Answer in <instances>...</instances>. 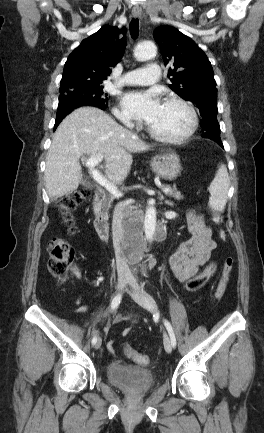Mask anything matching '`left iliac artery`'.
<instances>
[{
    "label": "left iliac artery",
    "instance_id": "44dca946",
    "mask_svg": "<svg viewBox=\"0 0 264 433\" xmlns=\"http://www.w3.org/2000/svg\"><path fill=\"white\" fill-rule=\"evenodd\" d=\"M165 326H166L168 333L170 335L171 344L173 347H175L176 346V338H175V334H174V331H173V328H172L170 322L165 320Z\"/></svg>",
    "mask_w": 264,
    "mask_h": 433
}]
</instances>
